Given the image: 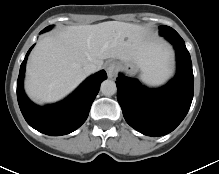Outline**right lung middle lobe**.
Instances as JSON below:
<instances>
[{
    "instance_id": "dd1d6c3e",
    "label": "right lung middle lobe",
    "mask_w": 219,
    "mask_h": 174,
    "mask_svg": "<svg viewBox=\"0 0 219 174\" xmlns=\"http://www.w3.org/2000/svg\"><path fill=\"white\" fill-rule=\"evenodd\" d=\"M51 28H52V26H48V27H46L42 32L48 31V30L51 29Z\"/></svg>"
}]
</instances>
